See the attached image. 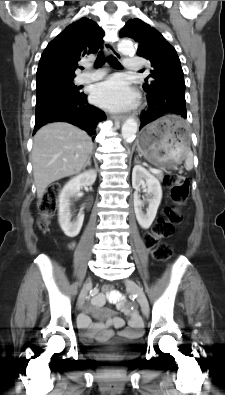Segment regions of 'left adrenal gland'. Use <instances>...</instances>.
I'll list each match as a JSON object with an SVG mask.
<instances>
[{
  "instance_id": "obj_1",
  "label": "left adrenal gland",
  "mask_w": 225,
  "mask_h": 395,
  "mask_svg": "<svg viewBox=\"0 0 225 395\" xmlns=\"http://www.w3.org/2000/svg\"><path fill=\"white\" fill-rule=\"evenodd\" d=\"M134 162H135V163H140V161L137 160V158H135Z\"/></svg>"
}]
</instances>
